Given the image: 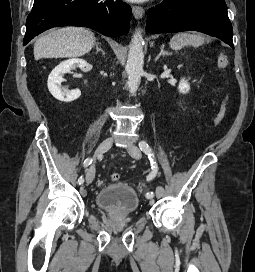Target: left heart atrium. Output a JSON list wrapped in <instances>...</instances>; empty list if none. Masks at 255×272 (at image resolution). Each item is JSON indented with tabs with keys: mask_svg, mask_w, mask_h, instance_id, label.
Segmentation results:
<instances>
[{
	"mask_svg": "<svg viewBox=\"0 0 255 272\" xmlns=\"http://www.w3.org/2000/svg\"><path fill=\"white\" fill-rule=\"evenodd\" d=\"M134 1H142V0H134Z\"/></svg>",
	"mask_w": 255,
	"mask_h": 272,
	"instance_id": "1",
	"label": "left heart atrium"
}]
</instances>
